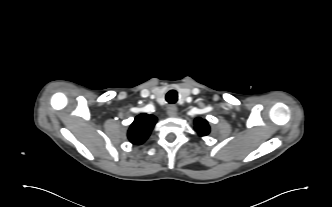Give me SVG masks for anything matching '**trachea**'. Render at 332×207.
I'll list each match as a JSON object with an SVG mask.
<instances>
[{
  "label": "trachea",
  "instance_id": "trachea-1",
  "mask_svg": "<svg viewBox=\"0 0 332 207\" xmlns=\"http://www.w3.org/2000/svg\"><path fill=\"white\" fill-rule=\"evenodd\" d=\"M177 99H178V95H177V92L175 90H170L166 94V101L170 104L176 103Z\"/></svg>",
  "mask_w": 332,
  "mask_h": 207
}]
</instances>
